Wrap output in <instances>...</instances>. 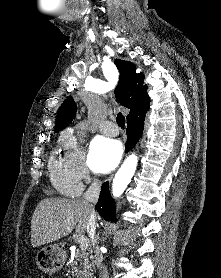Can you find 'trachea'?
Returning a JSON list of instances; mask_svg holds the SVG:
<instances>
[{"label":"trachea","instance_id":"trachea-1","mask_svg":"<svg viewBox=\"0 0 221 278\" xmlns=\"http://www.w3.org/2000/svg\"><path fill=\"white\" fill-rule=\"evenodd\" d=\"M116 122L121 128H124L125 117L120 112L117 114Z\"/></svg>","mask_w":221,"mask_h":278}]
</instances>
